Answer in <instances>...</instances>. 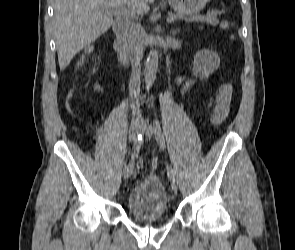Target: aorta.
I'll list each match as a JSON object with an SVG mask.
<instances>
[{
	"label": "aorta",
	"mask_w": 295,
	"mask_h": 250,
	"mask_svg": "<svg viewBox=\"0 0 295 250\" xmlns=\"http://www.w3.org/2000/svg\"><path fill=\"white\" fill-rule=\"evenodd\" d=\"M158 70V51L152 49L147 57L144 69V78L147 87H150L155 78Z\"/></svg>",
	"instance_id": "762f6f07"
}]
</instances>
